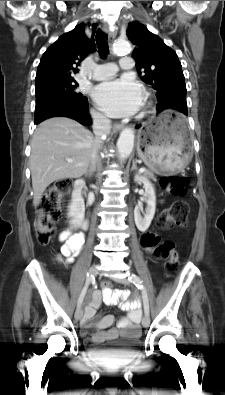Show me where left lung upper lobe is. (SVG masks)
Wrapping results in <instances>:
<instances>
[{"mask_svg":"<svg viewBox=\"0 0 225 395\" xmlns=\"http://www.w3.org/2000/svg\"><path fill=\"white\" fill-rule=\"evenodd\" d=\"M127 36L136 47V68L141 79L157 91L159 102L178 101L187 111L185 77L174 50L139 22H130ZM184 114V113H183Z\"/></svg>","mask_w":225,"mask_h":395,"instance_id":"left-lung-upper-lobe-1","label":"left lung upper lobe"}]
</instances>
